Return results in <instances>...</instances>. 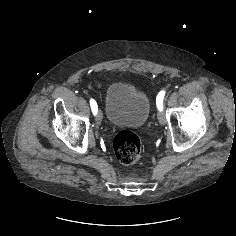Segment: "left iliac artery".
<instances>
[{
  "mask_svg": "<svg viewBox=\"0 0 236 236\" xmlns=\"http://www.w3.org/2000/svg\"><path fill=\"white\" fill-rule=\"evenodd\" d=\"M165 96V91L162 90L156 97V105L159 111H163V99Z\"/></svg>",
  "mask_w": 236,
  "mask_h": 236,
  "instance_id": "1",
  "label": "left iliac artery"
}]
</instances>
